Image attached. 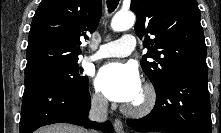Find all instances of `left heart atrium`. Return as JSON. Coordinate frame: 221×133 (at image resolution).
<instances>
[{"label":"left heart atrium","instance_id":"obj_1","mask_svg":"<svg viewBox=\"0 0 221 133\" xmlns=\"http://www.w3.org/2000/svg\"><path fill=\"white\" fill-rule=\"evenodd\" d=\"M96 88L112 101L132 103L142 92L137 69L129 64L109 63L97 73Z\"/></svg>","mask_w":221,"mask_h":133}]
</instances>
